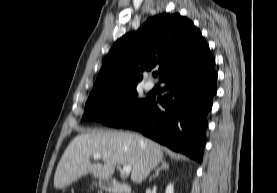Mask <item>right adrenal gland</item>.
<instances>
[{
  "mask_svg": "<svg viewBox=\"0 0 277 193\" xmlns=\"http://www.w3.org/2000/svg\"><path fill=\"white\" fill-rule=\"evenodd\" d=\"M168 169H169V164L166 163L165 160H162L161 167H159V168H157V169L155 170V174H153V175L149 178V181H152L153 178L158 177L161 170H168Z\"/></svg>",
  "mask_w": 277,
  "mask_h": 193,
  "instance_id": "right-adrenal-gland-1",
  "label": "right adrenal gland"
}]
</instances>
